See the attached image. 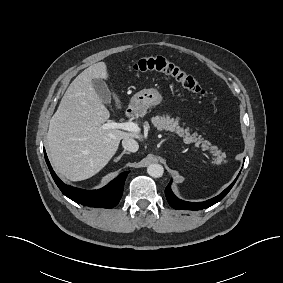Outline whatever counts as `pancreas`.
I'll use <instances>...</instances> for the list:
<instances>
[{"label":"pancreas","mask_w":283,"mask_h":283,"mask_svg":"<svg viewBox=\"0 0 283 283\" xmlns=\"http://www.w3.org/2000/svg\"><path fill=\"white\" fill-rule=\"evenodd\" d=\"M153 125L160 131L166 130L177 133L180 137H183L185 143H194L196 146L202 144L204 149H208L210 143L208 141H203L201 136L197 137V133L190 134L189 129H183L179 126L178 119L171 118L169 115L166 116H156L152 118ZM212 150H215L217 154V147L212 146Z\"/></svg>","instance_id":"pancreas-1"}]
</instances>
